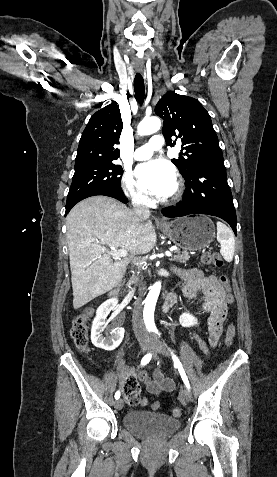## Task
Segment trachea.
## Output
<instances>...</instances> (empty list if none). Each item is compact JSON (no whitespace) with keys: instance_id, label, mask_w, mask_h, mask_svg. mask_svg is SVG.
Instances as JSON below:
<instances>
[{"instance_id":"1","label":"trachea","mask_w":277,"mask_h":477,"mask_svg":"<svg viewBox=\"0 0 277 477\" xmlns=\"http://www.w3.org/2000/svg\"><path fill=\"white\" fill-rule=\"evenodd\" d=\"M134 91L136 94V98L139 101L140 104L143 103L144 101V92H145V87H144V80L143 77L140 73H137L134 78Z\"/></svg>"}]
</instances>
